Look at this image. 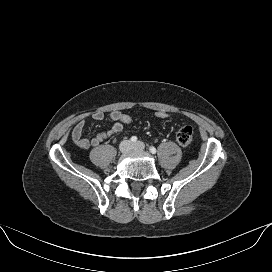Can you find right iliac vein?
I'll use <instances>...</instances> for the list:
<instances>
[{
  "mask_svg": "<svg viewBox=\"0 0 272 272\" xmlns=\"http://www.w3.org/2000/svg\"><path fill=\"white\" fill-rule=\"evenodd\" d=\"M132 149V145L130 141H124L120 145V151L125 154L128 153Z\"/></svg>",
  "mask_w": 272,
  "mask_h": 272,
  "instance_id": "obj_1",
  "label": "right iliac vein"
}]
</instances>
